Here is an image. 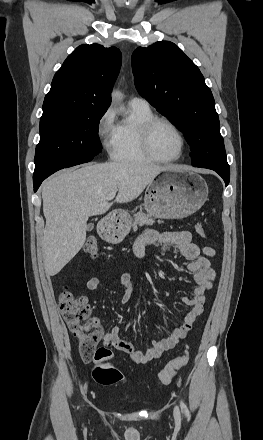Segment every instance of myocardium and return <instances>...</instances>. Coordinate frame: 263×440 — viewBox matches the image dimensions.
<instances>
[{
	"mask_svg": "<svg viewBox=\"0 0 263 440\" xmlns=\"http://www.w3.org/2000/svg\"><path fill=\"white\" fill-rule=\"evenodd\" d=\"M161 122L166 123L170 127H172L180 138V143H181L180 151H179L178 155L175 157L161 158V157L156 156L154 154V152L152 151L151 132H152L153 128L158 123H161ZM138 136H139V144H140V148H141L142 152L145 154V156L149 160L154 161V162H158V163L176 162L182 158V156L184 155L185 150H186L187 142H186V137H185L184 133L171 119L164 117V116H153V117L149 118L148 120L142 122L139 126Z\"/></svg>",
	"mask_w": 263,
	"mask_h": 440,
	"instance_id": "myocardium-1",
	"label": "myocardium"
}]
</instances>
